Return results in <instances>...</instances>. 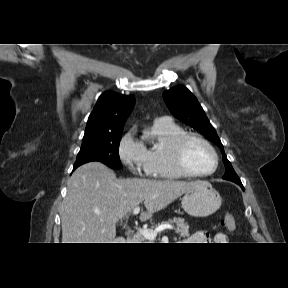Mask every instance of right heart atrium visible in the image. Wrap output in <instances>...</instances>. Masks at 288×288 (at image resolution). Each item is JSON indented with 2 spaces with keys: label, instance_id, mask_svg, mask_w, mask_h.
<instances>
[{
  "label": "right heart atrium",
  "instance_id": "d8ad5b80",
  "mask_svg": "<svg viewBox=\"0 0 288 288\" xmlns=\"http://www.w3.org/2000/svg\"><path fill=\"white\" fill-rule=\"evenodd\" d=\"M118 155L122 164L132 173L149 175L146 169V147L135 138L132 131H128L122 136L118 145Z\"/></svg>",
  "mask_w": 288,
  "mask_h": 288
}]
</instances>
